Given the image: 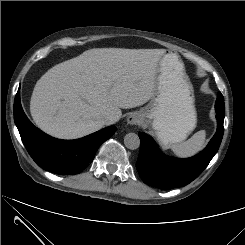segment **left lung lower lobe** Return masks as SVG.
Here are the masks:
<instances>
[{"instance_id": "0a47b994", "label": "left lung lower lobe", "mask_w": 245, "mask_h": 245, "mask_svg": "<svg viewBox=\"0 0 245 245\" xmlns=\"http://www.w3.org/2000/svg\"><path fill=\"white\" fill-rule=\"evenodd\" d=\"M215 110L216 134L202 152L188 159L164 155L150 136L139 133L141 146L136 167L146 184L160 189L183 187L202 173L218 151L224 133L225 107L221 92L218 93Z\"/></svg>"}]
</instances>
